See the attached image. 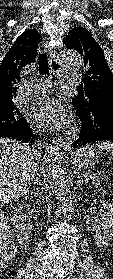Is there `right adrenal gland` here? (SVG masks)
Listing matches in <instances>:
<instances>
[{
    "mask_svg": "<svg viewBox=\"0 0 113 279\" xmlns=\"http://www.w3.org/2000/svg\"><path fill=\"white\" fill-rule=\"evenodd\" d=\"M40 175L39 173L37 172L36 173V179L33 181V190L31 192V194H38L39 193V185H41V182H40Z\"/></svg>",
    "mask_w": 113,
    "mask_h": 279,
    "instance_id": "obj_1",
    "label": "right adrenal gland"
}]
</instances>
